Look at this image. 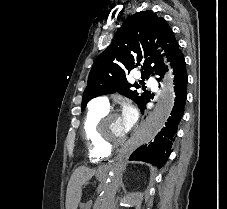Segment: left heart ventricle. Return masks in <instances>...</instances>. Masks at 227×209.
<instances>
[{
    "instance_id": "obj_1",
    "label": "left heart ventricle",
    "mask_w": 227,
    "mask_h": 209,
    "mask_svg": "<svg viewBox=\"0 0 227 209\" xmlns=\"http://www.w3.org/2000/svg\"><path fill=\"white\" fill-rule=\"evenodd\" d=\"M159 55H157L158 57ZM156 62V60H153ZM105 136L110 141L124 140L128 138L129 130L124 126L120 117L110 120L104 128Z\"/></svg>"
}]
</instances>
